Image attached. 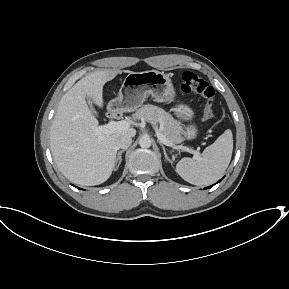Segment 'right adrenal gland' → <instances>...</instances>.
Returning a JSON list of instances; mask_svg holds the SVG:
<instances>
[{
	"mask_svg": "<svg viewBox=\"0 0 289 289\" xmlns=\"http://www.w3.org/2000/svg\"><path fill=\"white\" fill-rule=\"evenodd\" d=\"M125 151H126V149H122V150H120V151L117 153V157H116V163H117V165H116L115 170H118L119 165L121 164V161H122V153L125 152Z\"/></svg>",
	"mask_w": 289,
	"mask_h": 289,
	"instance_id": "obj_1",
	"label": "right adrenal gland"
}]
</instances>
